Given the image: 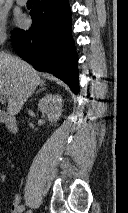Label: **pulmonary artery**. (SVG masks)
Masks as SVG:
<instances>
[{
	"label": "pulmonary artery",
	"instance_id": "pulmonary-artery-1",
	"mask_svg": "<svg viewBox=\"0 0 128 213\" xmlns=\"http://www.w3.org/2000/svg\"><path fill=\"white\" fill-rule=\"evenodd\" d=\"M16 3H17L19 6H25L26 3H27V0H16Z\"/></svg>",
	"mask_w": 128,
	"mask_h": 213
}]
</instances>
